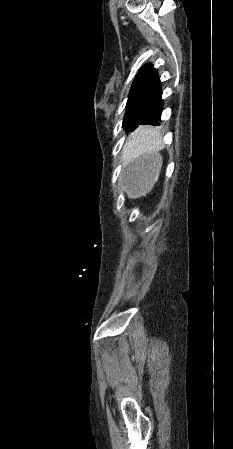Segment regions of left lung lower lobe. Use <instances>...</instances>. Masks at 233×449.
Segmentation results:
<instances>
[{
  "mask_svg": "<svg viewBox=\"0 0 233 449\" xmlns=\"http://www.w3.org/2000/svg\"><path fill=\"white\" fill-rule=\"evenodd\" d=\"M162 94L156 99L154 104L149 108L147 113L144 115V119L142 124L149 125H160L159 121H161V113L163 107ZM133 131V130H130Z\"/></svg>",
  "mask_w": 233,
  "mask_h": 449,
  "instance_id": "1",
  "label": "left lung lower lobe"
}]
</instances>
